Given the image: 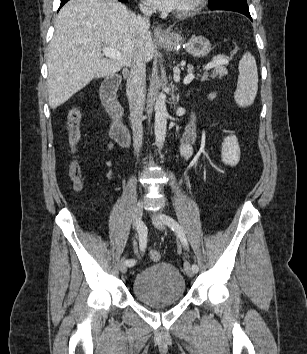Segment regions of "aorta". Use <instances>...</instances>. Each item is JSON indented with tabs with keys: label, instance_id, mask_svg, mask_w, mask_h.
<instances>
[{
	"label": "aorta",
	"instance_id": "1",
	"mask_svg": "<svg viewBox=\"0 0 307 354\" xmlns=\"http://www.w3.org/2000/svg\"><path fill=\"white\" fill-rule=\"evenodd\" d=\"M168 112L166 107V96L164 94L158 95L155 102V122L154 133L156 146L161 149L163 147L166 131H167Z\"/></svg>",
	"mask_w": 307,
	"mask_h": 354
}]
</instances>
